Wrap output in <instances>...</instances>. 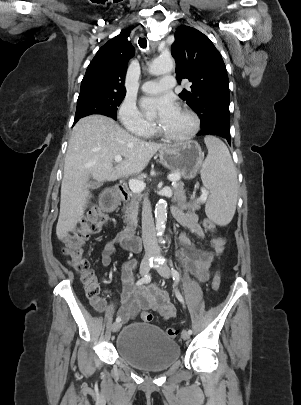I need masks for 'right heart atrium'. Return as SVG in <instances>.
<instances>
[{
  "instance_id": "right-heart-atrium-1",
  "label": "right heart atrium",
  "mask_w": 301,
  "mask_h": 405,
  "mask_svg": "<svg viewBox=\"0 0 301 405\" xmlns=\"http://www.w3.org/2000/svg\"><path fill=\"white\" fill-rule=\"evenodd\" d=\"M118 118L124 128L135 135L146 136L152 132V122L147 120L136 105L128 99L121 103Z\"/></svg>"
}]
</instances>
